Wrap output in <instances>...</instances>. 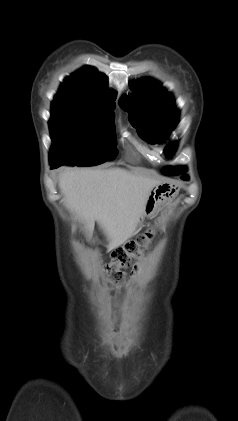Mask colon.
Instances as JSON below:
<instances>
[{
  "mask_svg": "<svg viewBox=\"0 0 238 421\" xmlns=\"http://www.w3.org/2000/svg\"><path fill=\"white\" fill-rule=\"evenodd\" d=\"M151 236L152 233L149 231L113 251L111 262L107 265L106 271L114 283L121 284L124 281V271L132 268L134 260L146 248Z\"/></svg>",
  "mask_w": 238,
  "mask_h": 421,
  "instance_id": "obj_1",
  "label": "colon"
}]
</instances>
